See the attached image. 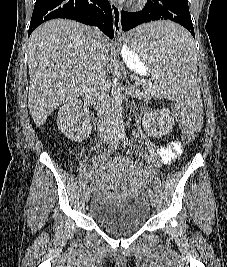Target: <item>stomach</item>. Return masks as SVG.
I'll return each mask as SVG.
<instances>
[{"mask_svg":"<svg viewBox=\"0 0 227 267\" xmlns=\"http://www.w3.org/2000/svg\"><path fill=\"white\" fill-rule=\"evenodd\" d=\"M123 59L127 66L134 72L146 74L149 68H157V63H141L137 51H131V47L124 45Z\"/></svg>","mask_w":227,"mask_h":267,"instance_id":"1","label":"stomach"}]
</instances>
